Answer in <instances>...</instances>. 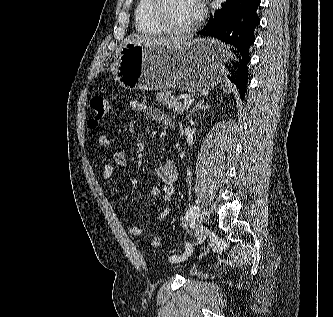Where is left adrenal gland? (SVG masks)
<instances>
[{"label":"left adrenal gland","mask_w":333,"mask_h":317,"mask_svg":"<svg viewBox=\"0 0 333 317\" xmlns=\"http://www.w3.org/2000/svg\"><path fill=\"white\" fill-rule=\"evenodd\" d=\"M211 107L210 105L206 104L204 105V100L199 101L194 107L193 109L189 112V114L187 115V118H189L194 112L201 110V109H207Z\"/></svg>","instance_id":"left-adrenal-gland-1"}]
</instances>
